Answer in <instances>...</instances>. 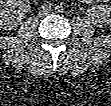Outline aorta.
<instances>
[{"label":"aorta","mask_w":111,"mask_h":106,"mask_svg":"<svg viewBox=\"0 0 111 106\" xmlns=\"http://www.w3.org/2000/svg\"><path fill=\"white\" fill-rule=\"evenodd\" d=\"M55 11L56 12H62L63 11V6L62 5L55 6Z\"/></svg>","instance_id":"762f6f07"}]
</instances>
